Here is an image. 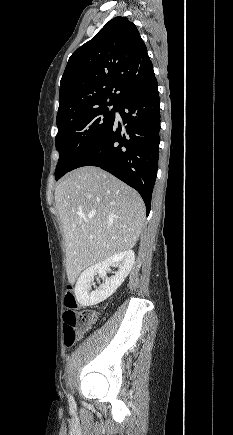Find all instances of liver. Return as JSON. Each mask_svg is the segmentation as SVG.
<instances>
[{
  "label": "liver",
  "instance_id": "6515ba94",
  "mask_svg": "<svg viewBox=\"0 0 233 435\" xmlns=\"http://www.w3.org/2000/svg\"><path fill=\"white\" fill-rule=\"evenodd\" d=\"M54 197L70 283L87 267L136 244L145 221L144 202L108 172L95 166L73 170L58 184Z\"/></svg>",
  "mask_w": 233,
  "mask_h": 435
}]
</instances>
